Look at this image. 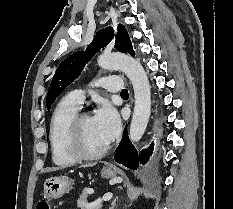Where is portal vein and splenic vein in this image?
<instances>
[{
	"label": "portal vein and splenic vein",
	"instance_id": "18ae733b",
	"mask_svg": "<svg viewBox=\"0 0 233 209\" xmlns=\"http://www.w3.org/2000/svg\"><path fill=\"white\" fill-rule=\"evenodd\" d=\"M112 198V194H107L105 196H103L102 198H100L97 202L99 201H109Z\"/></svg>",
	"mask_w": 233,
	"mask_h": 209
}]
</instances>
